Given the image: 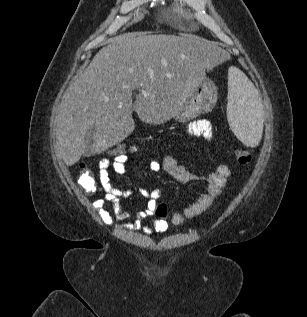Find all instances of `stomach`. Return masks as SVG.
Wrapping results in <instances>:
<instances>
[{
    "label": "stomach",
    "mask_w": 307,
    "mask_h": 317,
    "mask_svg": "<svg viewBox=\"0 0 307 317\" xmlns=\"http://www.w3.org/2000/svg\"><path fill=\"white\" fill-rule=\"evenodd\" d=\"M217 99L214 84L204 80L197 84L186 98L182 109L174 117L179 121H187L203 113L209 112Z\"/></svg>",
    "instance_id": "obj_1"
}]
</instances>
